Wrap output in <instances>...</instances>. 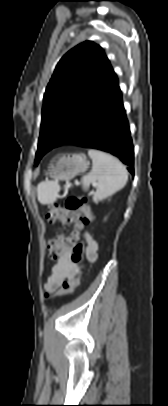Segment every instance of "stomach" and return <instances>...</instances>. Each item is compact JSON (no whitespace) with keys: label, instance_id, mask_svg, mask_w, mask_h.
I'll list each match as a JSON object with an SVG mask.
<instances>
[{"label":"stomach","instance_id":"obj_1","mask_svg":"<svg viewBox=\"0 0 168 406\" xmlns=\"http://www.w3.org/2000/svg\"><path fill=\"white\" fill-rule=\"evenodd\" d=\"M90 162L84 155L64 154L53 161L50 166L49 176L56 181L73 179L77 174L85 172Z\"/></svg>","mask_w":168,"mask_h":406}]
</instances>
